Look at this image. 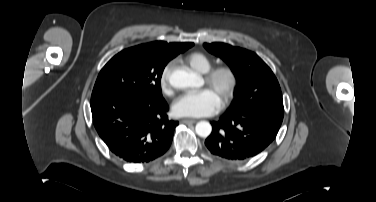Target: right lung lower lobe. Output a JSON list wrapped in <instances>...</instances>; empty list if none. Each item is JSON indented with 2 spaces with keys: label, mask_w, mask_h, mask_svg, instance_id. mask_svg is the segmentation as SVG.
Returning a JSON list of instances; mask_svg holds the SVG:
<instances>
[{
  "label": "right lung lower lobe",
  "mask_w": 376,
  "mask_h": 202,
  "mask_svg": "<svg viewBox=\"0 0 376 202\" xmlns=\"http://www.w3.org/2000/svg\"><path fill=\"white\" fill-rule=\"evenodd\" d=\"M94 126L109 149L127 162L144 163L171 145L177 121L164 98L109 94L91 100Z\"/></svg>",
  "instance_id": "right-lung-lower-lobe-1"
}]
</instances>
